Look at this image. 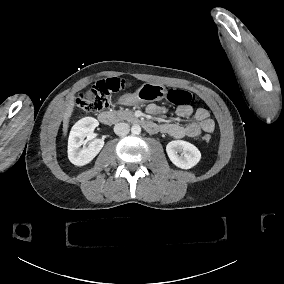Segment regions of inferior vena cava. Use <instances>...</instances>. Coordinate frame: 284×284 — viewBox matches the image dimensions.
Wrapping results in <instances>:
<instances>
[{"instance_id":"obj_1","label":"inferior vena cava","mask_w":284,"mask_h":284,"mask_svg":"<svg viewBox=\"0 0 284 284\" xmlns=\"http://www.w3.org/2000/svg\"><path fill=\"white\" fill-rule=\"evenodd\" d=\"M113 129H114V133L120 136H125L130 131L129 125L124 122L116 123Z\"/></svg>"}]
</instances>
